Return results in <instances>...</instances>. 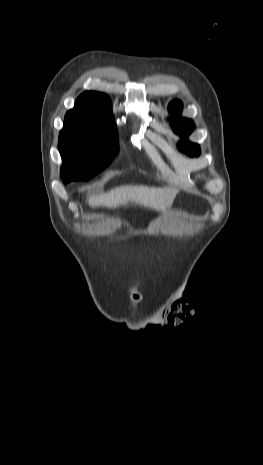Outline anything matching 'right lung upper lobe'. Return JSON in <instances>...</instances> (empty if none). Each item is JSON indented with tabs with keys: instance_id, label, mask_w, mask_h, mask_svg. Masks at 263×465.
<instances>
[{
	"instance_id": "1",
	"label": "right lung upper lobe",
	"mask_w": 263,
	"mask_h": 465,
	"mask_svg": "<svg viewBox=\"0 0 263 465\" xmlns=\"http://www.w3.org/2000/svg\"><path fill=\"white\" fill-rule=\"evenodd\" d=\"M66 116L114 123L110 99L103 93L93 91L81 94L77 98L74 108L68 111Z\"/></svg>"
}]
</instances>
